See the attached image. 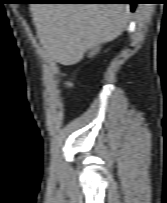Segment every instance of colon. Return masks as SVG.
<instances>
[{
    "mask_svg": "<svg viewBox=\"0 0 167 203\" xmlns=\"http://www.w3.org/2000/svg\"><path fill=\"white\" fill-rule=\"evenodd\" d=\"M68 86H71V83H68Z\"/></svg>",
    "mask_w": 167,
    "mask_h": 203,
    "instance_id": "colon-1",
    "label": "colon"
}]
</instances>
